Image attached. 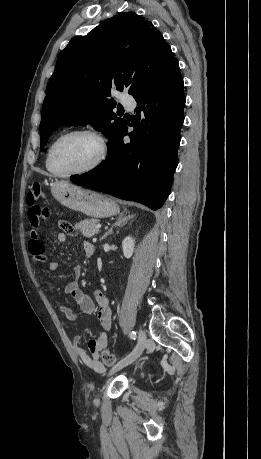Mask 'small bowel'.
Returning a JSON list of instances; mask_svg holds the SVG:
<instances>
[{"instance_id":"1","label":"small bowel","mask_w":261,"mask_h":459,"mask_svg":"<svg viewBox=\"0 0 261 459\" xmlns=\"http://www.w3.org/2000/svg\"><path fill=\"white\" fill-rule=\"evenodd\" d=\"M56 241L58 243H64L66 241V234L59 232L56 235ZM29 251L34 260L39 262H47L45 254V245L42 242L39 234H30ZM83 251L86 256L90 257L94 254V246L89 242H83ZM58 263L52 261L48 263L47 271L52 273L57 268ZM82 274V267L77 265L74 267L75 280L67 283L64 286V293L71 296L80 311L90 316L94 311L97 312V318L104 332H101L96 338H92L88 341V351L82 347V337L75 336L72 341L73 349L76 351L79 359L88 367L94 370H102L103 366L99 359V352L106 348L109 343L108 331L112 328V313L109 306V300L107 296L101 291H94V300L89 297L79 286L78 279ZM97 304V308L95 306ZM61 314L69 321H75L78 318V313L65 305H59Z\"/></svg>"}]
</instances>
